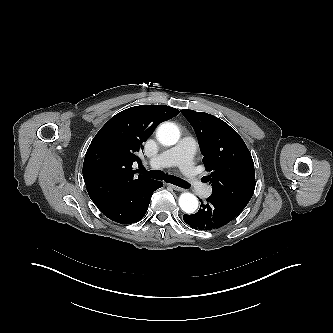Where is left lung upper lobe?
<instances>
[{
	"instance_id": "5c2ea615",
	"label": "left lung upper lobe",
	"mask_w": 333,
	"mask_h": 333,
	"mask_svg": "<svg viewBox=\"0 0 333 333\" xmlns=\"http://www.w3.org/2000/svg\"><path fill=\"white\" fill-rule=\"evenodd\" d=\"M198 138L212 195L242 212L255 190L254 163L245 142L223 120L194 110H181Z\"/></svg>"
}]
</instances>
